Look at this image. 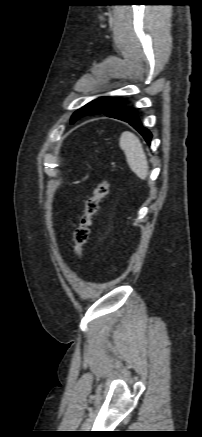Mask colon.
<instances>
[{
  "mask_svg": "<svg viewBox=\"0 0 202 437\" xmlns=\"http://www.w3.org/2000/svg\"><path fill=\"white\" fill-rule=\"evenodd\" d=\"M110 188L108 179L103 178L98 183L91 198H89L85 205V211L80 218L79 224L74 230V257L78 262L82 255L83 249L89 239L90 227L93 217L97 214L101 202L107 196Z\"/></svg>",
  "mask_w": 202,
  "mask_h": 437,
  "instance_id": "obj_1",
  "label": "colon"
}]
</instances>
